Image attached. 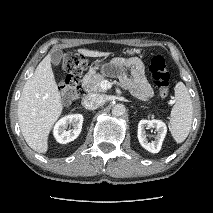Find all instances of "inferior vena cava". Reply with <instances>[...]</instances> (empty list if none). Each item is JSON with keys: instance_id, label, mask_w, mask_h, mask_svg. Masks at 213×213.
Segmentation results:
<instances>
[{"instance_id": "obj_1", "label": "inferior vena cava", "mask_w": 213, "mask_h": 213, "mask_svg": "<svg viewBox=\"0 0 213 213\" xmlns=\"http://www.w3.org/2000/svg\"><path fill=\"white\" fill-rule=\"evenodd\" d=\"M106 102L104 95L99 94H88L82 100V105L84 108L89 110L97 109Z\"/></svg>"}]
</instances>
